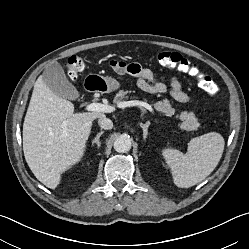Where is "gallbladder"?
<instances>
[{
	"label": "gallbladder",
	"mask_w": 249,
	"mask_h": 249,
	"mask_svg": "<svg viewBox=\"0 0 249 249\" xmlns=\"http://www.w3.org/2000/svg\"><path fill=\"white\" fill-rule=\"evenodd\" d=\"M45 84L58 96L75 100L79 97L77 89L68 81L62 66L52 63L45 68L42 74Z\"/></svg>",
	"instance_id": "bac80fb5"
}]
</instances>
